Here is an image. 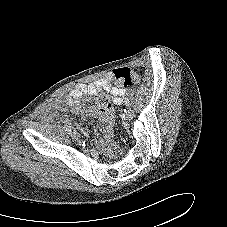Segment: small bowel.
<instances>
[{
    "label": "small bowel",
    "mask_w": 227,
    "mask_h": 227,
    "mask_svg": "<svg viewBox=\"0 0 227 227\" xmlns=\"http://www.w3.org/2000/svg\"><path fill=\"white\" fill-rule=\"evenodd\" d=\"M113 73L106 77L90 83L77 84L71 91L48 103L42 109V119L46 122H53L60 117V112L70 109L74 114L98 117L100 121L109 128L114 121V110L110 107L106 112H101L97 106H84L81 104L83 97H95L98 93L105 91L111 94L112 101L115 105L122 103L124 98V89L117 88L112 83ZM66 122L69 123L67 119ZM84 137H88L89 130L82 125H75Z\"/></svg>",
    "instance_id": "obj_1"
}]
</instances>
